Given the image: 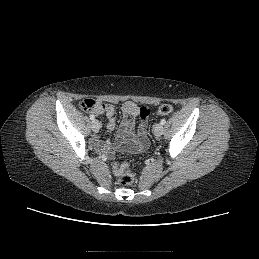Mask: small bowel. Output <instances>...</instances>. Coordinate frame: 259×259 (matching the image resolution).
Here are the masks:
<instances>
[{"label":"small bowel","instance_id":"small-bowel-1","mask_svg":"<svg viewBox=\"0 0 259 259\" xmlns=\"http://www.w3.org/2000/svg\"><path fill=\"white\" fill-rule=\"evenodd\" d=\"M123 119L116 137L117 145L130 151L139 152L148 145L147 137V119L140 116V107L132 101H126L121 105ZM96 115L105 113L107 119V128L113 130L116 126L115 107L112 104H105L103 108L94 110ZM139 118L137 133L134 132L135 119ZM93 144L100 151L111 155L112 146L110 142H101L98 138L93 140Z\"/></svg>","mask_w":259,"mask_h":259}]
</instances>
